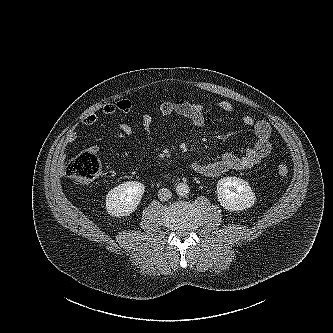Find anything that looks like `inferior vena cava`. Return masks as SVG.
I'll use <instances>...</instances> for the list:
<instances>
[{"label":"inferior vena cava","instance_id":"1","mask_svg":"<svg viewBox=\"0 0 333 333\" xmlns=\"http://www.w3.org/2000/svg\"><path fill=\"white\" fill-rule=\"evenodd\" d=\"M172 196V193L167 188H162L158 191V198L161 201H168Z\"/></svg>","mask_w":333,"mask_h":333}]
</instances>
